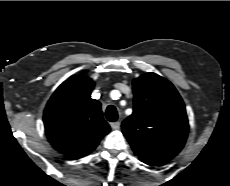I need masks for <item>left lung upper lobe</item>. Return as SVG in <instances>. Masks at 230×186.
<instances>
[{
  "label": "left lung upper lobe",
  "mask_w": 230,
  "mask_h": 186,
  "mask_svg": "<svg viewBox=\"0 0 230 186\" xmlns=\"http://www.w3.org/2000/svg\"><path fill=\"white\" fill-rule=\"evenodd\" d=\"M134 109L122 132L138 158L157 165L175 157L188 135L184 102L165 78L146 73L133 81Z\"/></svg>",
  "instance_id": "5c2ea615"
}]
</instances>
